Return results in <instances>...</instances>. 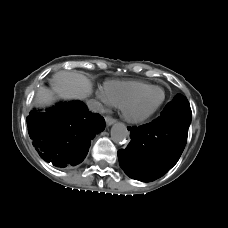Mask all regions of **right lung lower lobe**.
Returning <instances> with one entry per match:
<instances>
[{"mask_svg":"<svg viewBox=\"0 0 228 228\" xmlns=\"http://www.w3.org/2000/svg\"><path fill=\"white\" fill-rule=\"evenodd\" d=\"M33 146L46 162L57 167L77 165L86 157L91 140L105 128V120L81 101L60 103L27 117Z\"/></svg>","mask_w":228,"mask_h":228,"instance_id":"right-lung-lower-lobe-1","label":"right lung lower lobe"}]
</instances>
